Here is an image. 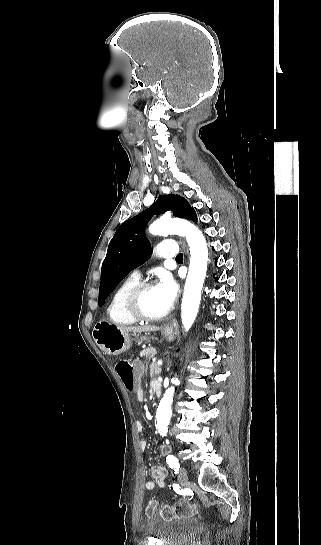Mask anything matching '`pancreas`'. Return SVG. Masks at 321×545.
I'll list each match as a JSON object with an SVG mask.
<instances>
[{"mask_svg": "<svg viewBox=\"0 0 321 545\" xmlns=\"http://www.w3.org/2000/svg\"><path fill=\"white\" fill-rule=\"evenodd\" d=\"M162 369L161 367H158V365H156V363H151L150 365V377H157V375H160Z\"/></svg>", "mask_w": 321, "mask_h": 545, "instance_id": "obj_1", "label": "pancreas"}]
</instances>
